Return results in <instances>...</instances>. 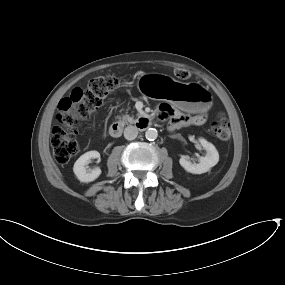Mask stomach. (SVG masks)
<instances>
[{"label": "stomach", "mask_w": 285, "mask_h": 285, "mask_svg": "<svg viewBox=\"0 0 285 285\" xmlns=\"http://www.w3.org/2000/svg\"><path fill=\"white\" fill-rule=\"evenodd\" d=\"M137 87L142 94L152 98L164 96L175 107L189 113L206 111L212 105V95L207 88L197 83H182L164 74H142ZM161 88L166 89L167 94L161 95Z\"/></svg>", "instance_id": "0dacf381"}]
</instances>
